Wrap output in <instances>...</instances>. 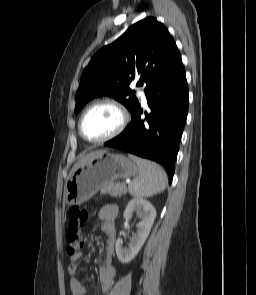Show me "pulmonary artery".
I'll use <instances>...</instances> for the list:
<instances>
[{
	"label": "pulmonary artery",
	"mask_w": 256,
	"mask_h": 295,
	"mask_svg": "<svg viewBox=\"0 0 256 295\" xmlns=\"http://www.w3.org/2000/svg\"><path fill=\"white\" fill-rule=\"evenodd\" d=\"M139 95H140V98H141L142 103H143V104H146L147 99H146V94H145V91H144L143 88H141V89L139 90Z\"/></svg>",
	"instance_id": "e3ab8cb5"
}]
</instances>
